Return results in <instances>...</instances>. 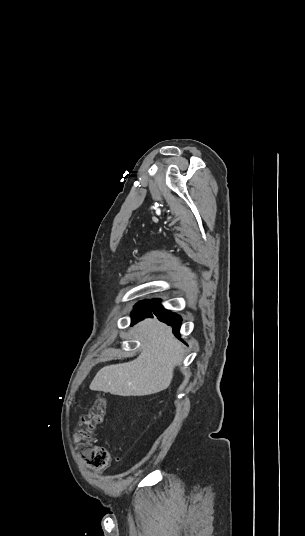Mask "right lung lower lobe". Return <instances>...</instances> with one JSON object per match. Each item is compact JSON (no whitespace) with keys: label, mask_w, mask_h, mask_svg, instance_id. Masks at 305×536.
<instances>
[{"label":"right lung lower lobe","mask_w":305,"mask_h":536,"mask_svg":"<svg viewBox=\"0 0 305 536\" xmlns=\"http://www.w3.org/2000/svg\"><path fill=\"white\" fill-rule=\"evenodd\" d=\"M152 312L159 317V320L173 326L174 334L179 337V328L182 318L175 313L165 310L159 303V300H145L139 302L132 313V324L146 317H152Z\"/></svg>","instance_id":"1"}]
</instances>
